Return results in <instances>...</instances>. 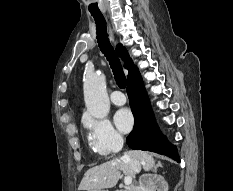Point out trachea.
Wrapping results in <instances>:
<instances>
[{
    "label": "trachea",
    "mask_w": 233,
    "mask_h": 191,
    "mask_svg": "<svg viewBox=\"0 0 233 191\" xmlns=\"http://www.w3.org/2000/svg\"><path fill=\"white\" fill-rule=\"evenodd\" d=\"M97 26V42L100 50L105 55L113 70L117 85L124 89L126 87V77L122 70L121 63L109 41L106 31V21L102 14H92Z\"/></svg>",
    "instance_id": "obj_1"
}]
</instances>
